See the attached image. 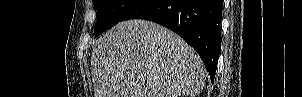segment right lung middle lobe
<instances>
[{"label":"right lung middle lobe","instance_id":"right-lung-middle-lobe-1","mask_svg":"<svg viewBox=\"0 0 302 97\" xmlns=\"http://www.w3.org/2000/svg\"><path fill=\"white\" fill-rule=\"evenodd\" d=\"M141 0H93L98 19L94 27L95 35H99L122 21L125 14Z\"/></svg>","mask_w":302,"mask_h":97}]
</instances>
